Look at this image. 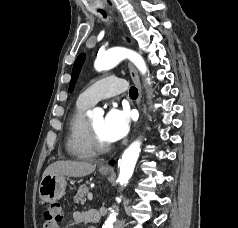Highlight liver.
I'll return each mask as SVG.
<instances>
[{"instance_id": "1", "label": "liver", "mask_w": 238, "mask_h": 228, "mask_svg": "<svg viewBox=\"0 0 238 228\" xmlns=\"http://www.w3.org/2000/svg\"><path fill=\"white\" fill-rule=\"evenodd\" d=\"M96 165L84 161H56L50 164L44 171L43 176L46 175H63L68 177H84L93 173Z\"/></svg>"}]
</instances>
